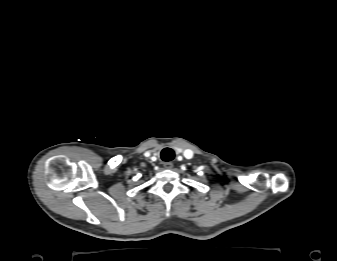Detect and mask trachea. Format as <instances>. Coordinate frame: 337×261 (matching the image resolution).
I'll return each mask as SVG.
<instances>
[{
	"label": "trachea",
	"mask_w": 337,
	"mask_h": 261,
	"mask_svg": "<svg viewBox=\"0 0 337 261\" xmlns=\"http://www.w3.org/2000/svg\"><path fill=\"white\" fill-rule=\"evenodd\" d=\"M175 153L171 148H164L161 151V159L163 161H171L174 159Z\"/></svg>",
	"instance_id": "trachea-1"
}]
</instances>
